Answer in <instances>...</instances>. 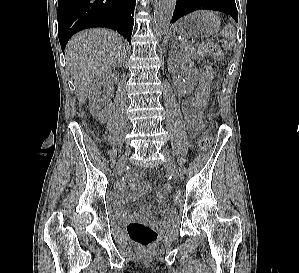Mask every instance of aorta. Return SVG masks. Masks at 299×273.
<instances>
[{
  "label": "aorta",
  "instance_id": "aorta-1",
  "mask_svg": "<svg viewBox=\"0 0 299 273\" xmlns=\"http://www.w3.org/2000/svg\"><path fill=\"white\" fill-rule=\"evenodd\" d=\"M175 5L176 0H157L154 13V31L157 34H165L168 30Z\"/></svg>",
  "mask_w": 299,
  "mask_h": 273
}]
</instances>
